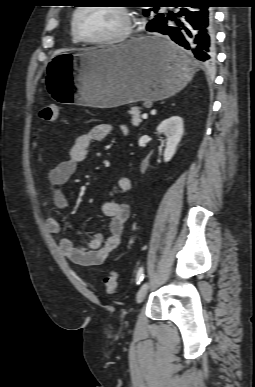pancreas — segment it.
Masks as SVG:
<instances>
[{
  "mask_svg": "<svg viewBox=\"0 0 255 387\" xmlns=\"http://www.w3.org/2000/svg\"><path fill=\"white\" fill-rule=\"evenodd\" d=\"M130 114L132 115L131 123L134 127H137L141 124L142 120L140 118V110L138 107H132L130 110Z\"/></svg>",
  "mask_w": 255,
  "mask_h": 387,
  "instance_id": "1",
  "label": "pancreas"
}]
</instances>
